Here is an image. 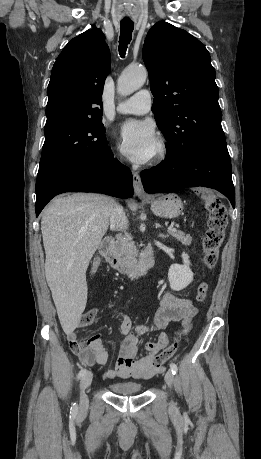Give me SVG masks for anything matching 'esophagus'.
Listing matches in <instances>:
<instances>
[{
  "mask_svg": "<svg viewBox=\"0 0 261 459\" xmlns=\"http://www.w3.org/2000/svg\"><path fill=\"white\" fill-rule=\"evenodd\" d=\"M132 175H133V187H134L135 195L138 197H146L147 194L144 191V187H143L139 173L134 171Z\"/></svg>",
  "mask_w": 261,
  "mask_h": 459,
  "instance_id": "esophagus-1",
  "label": "esophagus"
}]
</instances>
